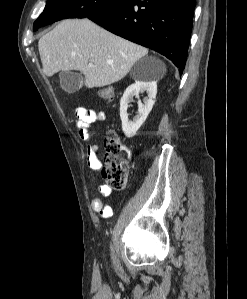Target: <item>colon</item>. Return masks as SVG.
I'll return each mask as SVG.
<instances>
[{
  "label": "colon",
  "mask_w": 247,
  "mask_h": 299,
  "mask_svg": "<svg viewBox=\"0 0 247 299\" xmlns=\"http://www.w3.org/2000/svg\"><path fill=\"white\" fill-rule=\"evenodd\" d=\"M97 95L103 100L111 101L114 91L111 87H104L98 90ZM104 149V166L101 175L114 190H124L128 183L129 149L114 132H109L105 138Z\"/></svg>",
  "instance_id": "1"
}]
</instances>
